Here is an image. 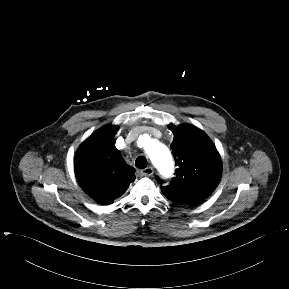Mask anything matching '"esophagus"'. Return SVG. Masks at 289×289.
<instances>
[{
	"label": "esophagus",
	"instance_id": "1",
	"mask_svg": "<svg viewBox=\"0 0 289 289\" xmlns=\"http://www.w3.org/2000/svg\"><path fill=\"white\" fill-rule=\"evenodd\" d=\"M153 173H154V170L152 167H147V168L141 170V174L143 176H151Z\"/></svg>",
	"mask_w": 289,
	"mask_h": 289
}]
</instances>
